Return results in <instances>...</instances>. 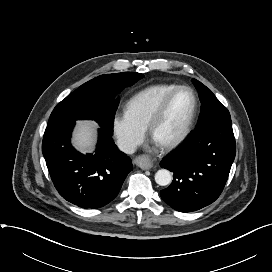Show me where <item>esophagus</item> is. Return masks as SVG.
<instances>
[{
    "label": "esophagus",
    "mask_w": 272,
    "mask_h": 272,
    "mask_svg": "<svg viewBox=\"0 0 272 272\" xmlns=\"http://www.w3.org/2000/svg\"><path fill=\"white\" fill-rule=\"evenodd\" d=\"M135 163L143 170L150 169L153 166L152 161L147 155H140L135 159Z\"/></svg>",
    "instance_id": "obj_1"
}]
</instances>
